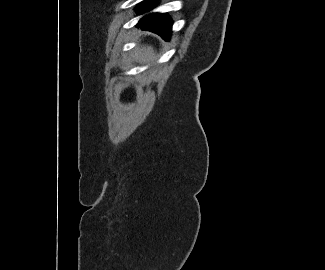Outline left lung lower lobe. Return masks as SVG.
<instances>
[{
	"label": "left lung lower lobe",
	"instance_id": "left-lung-lower-lobe-1",
	"mask_svg": "<svg viewBox=\"0 0 325 270\" xmlns=\"http://www.w3.org/2000/svg\"><path fill=\"white\" fill-rule=\"evenodd\" d=\"M156 6V0L143 1L136 10L139 13L147 12ZM138 25L143 30H148L160 35L163 39L169 40L172 28V21L166 14L152 13L143 17Z\"/></svg>",
	"mask_w": 325,
	"mask_h": 270
}]
</instances>
